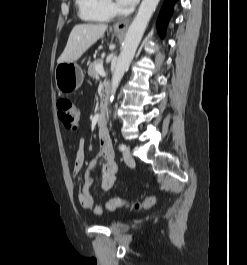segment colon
<instances>
[{"label":"colon","mask_w":247,"mask_h":265,"mask_svg":"<svg viewBox=\"0 0 247 265\" xmlns=\"http://www.w3.org/2000/svg\"><path fill=\"white\" fill-rule=\"evenodd\" d=\"M58 115L62 124L71 131L78 128L80 120L79 108L68 99H61L57 103ZM121 199V198H120ZM155 203V198L149 196L142 201L133 203L132 207L136 210L148 209Z\"/></svg>","instance_id":"obj_1"}]
</instances>
